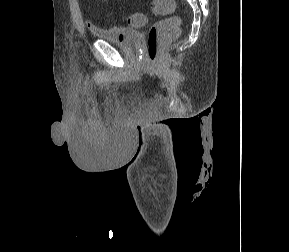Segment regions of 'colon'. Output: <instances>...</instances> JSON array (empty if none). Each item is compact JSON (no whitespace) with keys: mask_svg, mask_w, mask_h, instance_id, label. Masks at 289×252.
<instances>
[{"mask_svg":"<svg viewBox=\"0 0 289 252\" xmlns=\"http://www.w3.org/2000/svg\"><path fill=\"white\" fill-rule=\"evenodd\" d=\"M151 9L156 14L171 15L175 11L174 0H153ZM126 21L132 26L144 24V17L138 13L129 14ZM180 20L176 17H169L154 23L146 38L147 56L151 63L159 62L163 48L173 41L179 33Z\"/></svg>","mask_w":289,"mask_h":252,"instance_id":"colon-1","label":"colon"}]
</instances>
